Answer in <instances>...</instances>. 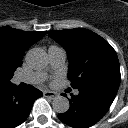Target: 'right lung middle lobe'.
Wrapping results in <instances>:
<instances>
[{
  "instance_id": "dd1d6c3e",
  "label": "right lung middle lobe",
  "mask_w": 128,
  "mask_h": 128,
  "mask_svg": "<svg viewBox=\"0 0 128 128\" xmlns=\"http://www.w3.org/2000/svg\"><path fill=\"white\" fill-rule=\"evenodd\" d=\"M13 76V71H0V85L10 82Z\"/></svg>"
}]
</instances>
